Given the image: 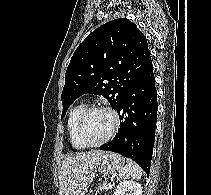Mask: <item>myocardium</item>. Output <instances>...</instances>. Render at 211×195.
<instances>
[{
    "instance_id": "obj_1",
    "label": "myocardium",
    "mask_w": 211,
    "mask_h": 195,
    "mask_svg": "<svg viewBox=\"0 0 211 195\" xmlns=\"http://www.w3.org/2000/svg\"><path fill=\"white\" fill-rule=\"evenodd\" d=\"M94 111H106L109 114H111V116L113 118V127H112L110 133L104 139H102L99 142L91 143L85 139L82 130H83V125H84V122H85L87 116ZM119 127H120V118H119L118 113L114 109H112L111 107L105 106V105H93V106L87 107L82 112V114L79 116L78 121H77L76 130H77V136H78L79 140L83 143L84 146L100 147V146L106 144L107 142H109L115 136Z\"/></svg>"
}]
</instances>
